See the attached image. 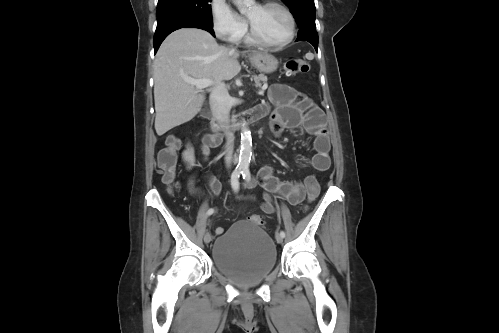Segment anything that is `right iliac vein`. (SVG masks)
Segmentation results:
<instances>
[{
	"label": "right iliac vein",
	"instance_id": "right-iliac-vein-1",
	"mask_svg": "<svg viewBox=\"0 0 499 333\" xmlns=\"http://www.w3.org/2000/svg\"><path fill=\"white\" fill-rule=\"evenodd\" d=\"M210 241H211V235L209 233H205V235H204V242L206 244H208V243H210Z\"/></svg>",
	"mask_w": 499,
	"mask_h": 333
}]
</instances>
